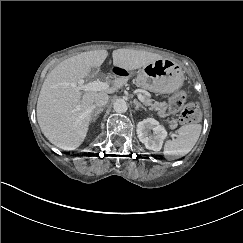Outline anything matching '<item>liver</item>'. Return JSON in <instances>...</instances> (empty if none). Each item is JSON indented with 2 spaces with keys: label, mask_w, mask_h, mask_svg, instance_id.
<instances>
[{
  "label": "liver",
  "mask_w": 243,
  "mask_h": 243,
  "mask_svg": "<svg viewBox=\"0 0 243 243\" xmlns=\"http://www.w3.org/2000/svg\"><path fill=\"white\" fill-rule=\"evenodd\" d=\"M107 56V50L83 52L62 61L47 75L37 101V120L44 136L55 146L74 150L84 141L98 93L81 91L77 86ZM112 57L114 66L127 71L162 58L156 53L124 48L114 50ZM127 81L128 77H118L101 93H114Z\"/></svg>",
  "instance_id": "1"
}]
</instances>
